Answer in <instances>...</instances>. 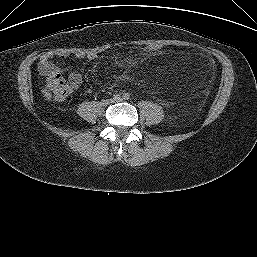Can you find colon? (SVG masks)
I'll list each match as a JSON object with an SVG mask.
<instances>
[{
    "mask_svg": "<svg viewBox=\"0 0 257 257\" xmlns=\"http://www.w3.org/2000/svg\"><path fill=\"white\" fill-rule=\"evenodd\" d=\"M148 51L157 53L162 49L159 44H151L147 46ZM47 90L58 100H66L71 93V88L67 84L65 78L58 72L50 73L47 76Z\"/></svg>",
    "mask_w": 257,
    "mask_h": 257,
    "instance_id": "obj_1",
    "label": "colon"
}]
</instances>
